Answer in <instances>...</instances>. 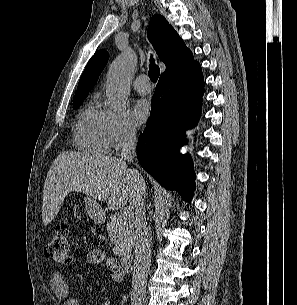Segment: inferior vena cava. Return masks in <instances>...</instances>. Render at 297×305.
<instances>
[{
	"label": "inferior vena cava",
	"mask_w": 297,
	"mask_h": 305,
	"mask_svg": "<svg viewBox=\"0 0 297 305\" xmlns=\"http://www.w3.org/2000/svg\"><path fill=\"white\" fill-rule=\"evenodd\" d=\"M121 158L133 162L136 154V135L135 131L125 128L121 134ZM138 179L141 174L134 170ZM132 206L135 208L134 226H135V258L132 273L131 302L142 305L146 294V278L149 273L151 262V243L146 221L145 203L143 194H138Z\"/></svg>",
	"instance_id": "inferior-vena-cava-1"
}]
</instances>
